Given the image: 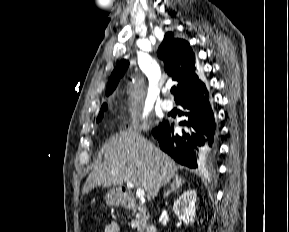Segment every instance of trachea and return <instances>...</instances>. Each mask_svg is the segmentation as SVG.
I'll list each match as a JSON object with an SVG mask.
<instances>
[{
    "instance_id": "obj_1",
    "label": "trachea",
    "mask_w": 289,
    "mask_h": 232,
    "mask_svg": "<svg viewBox=\"0 0 289 232\" xmlns=\"http://www.w3.org/2000/svg\"><path fill=\"white\" fill-rule=\"evenodd\" d=\"M174 91H175V88L174 87L171 88V93H174Z\"/></svg>"
}]
</instances>
